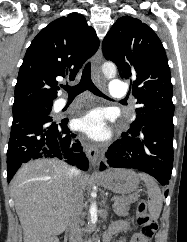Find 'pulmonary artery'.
I'll list each match as a JSON object with an SVG mask.
<instances>
[{"instance_id": "e3ab8cb5", "label": "pulmonary artery", "mask_w": 187, "mask_h": 242, "mask_svg": "<svg viewBox=\"0 0 187 242\" xmlns=\"http://www.w3.org/2000/svg\"><path fill=\"white\" fill-rule=\"evenodd\" d=\"M126 94V86L119 80H113L110 83V95L114 98H123ZM63 105L65 102L62 103Z\"/></svg>"}]
</instances>
